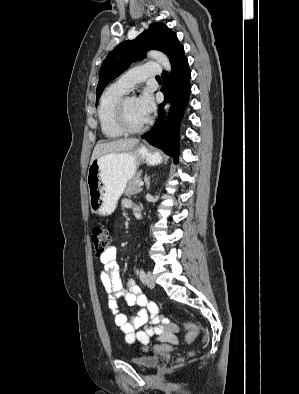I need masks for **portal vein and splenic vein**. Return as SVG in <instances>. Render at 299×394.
<instances>
[{
  "label": "portal vein and splenic vein",
  "mask_w": 299,
  "mask_h": 394,
  "mask_svg": "<svg viewBox=\"0 0 299 394\" xmlns=\"http://www.w3.org/2000/svg\"><path fill=\"white\" fill-rule=\"evenodd\" d=\"M144 185V182L143 181H140L139 183H138V186L139 187H142Z\"/></svg>",
  "instance_id": "18ae733b"
}]
</instances>
